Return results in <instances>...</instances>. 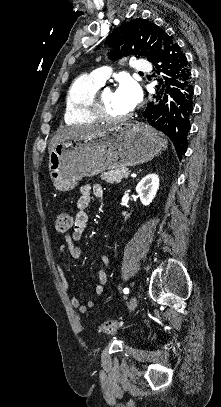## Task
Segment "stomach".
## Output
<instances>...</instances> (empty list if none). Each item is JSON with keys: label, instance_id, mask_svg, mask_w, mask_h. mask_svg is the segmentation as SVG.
<instances>
[{"label": "stomach", "instance_id": "1", "mask_svg": "<svg viewBox=\"0 0 221 407\" xmlns=\"http://www.w3.org/2000/svg\"><path fill=\"white\" fill-rule=\"evenodd\" d=\"M167 144L163 135L148 125L113 126L58 143L49 154V175L56 190L70 191L85 176L148 162Z\"/></svg>", "mask_w": 221, "mask_h": 407}]
</instances>
